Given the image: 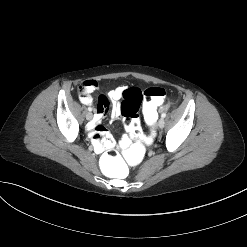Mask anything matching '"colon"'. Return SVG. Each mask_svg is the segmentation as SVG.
I'll list each match as a JSON object with an SVG mask.
<instances>
[{"label": "colon", "instance_id": "5ec220e1", "mask_svg": "<svg viewBox=\"0 0 247 247\" xmlns=\"http://www.w3.org/2000/svg\"><path fill=\"white\" fill-rule=\"evenodd\" d=\"M88 87L86 82L83 83L79 87L80 94H86ZM164 97L165 90L161 87H149L143 92L133 87L123 92L120 111L127 129L133 137L138 138L141 134V122L138 114L141 103H144L147 119L152 121ZM147 156V145L142 141H133L129 145L123 146L119 152L113 149L105 151L99 158L98 166L103 174L121 181L129 176L130 167L143 162Z\"/></svg>", "mask_w": 247, "mask_h": 247}]
</instances>
